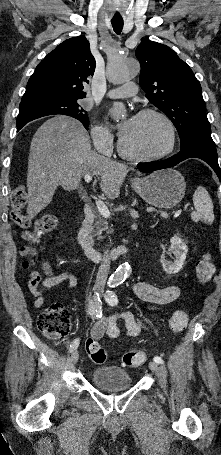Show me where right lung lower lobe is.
Instances as JSON below:
<instances>
[{
  "instance_id": "obj_1",
  "label": "right lung lower lobe",
  "mask_w": 221,
  "mask_h": 455,
  "mask_svg": "<svg viewBox=\"0 0 221 455\" xmlns=\"http://www.w3.org/2000/svg\"><path fill=\"white\" fill-rule=\"evenodd\" d=\"M24 125H25V124H24ZM24 125H23V126H24ZM23 126L17 127V131H19Z\"/></svg>"
}]
</instances>
